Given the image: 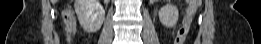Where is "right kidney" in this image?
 Here are the masks:
<instances>
[{"mask_svg":"<svg viewBox=\"0 0 261 44\" xmlns=\"http://www.w3.org/2000/svg\"><path fill=\"white\" fill-rule=\"evenodd\" d=\"M81 27L89 33L100 29L105 20V10L98 0H76L74 4Z\"/></svg>","mask_w":261,"mask_h":44,"instance_id":"1","label":"right kidney"}]
</instances>
